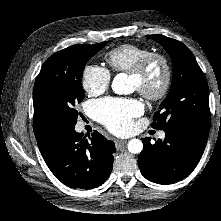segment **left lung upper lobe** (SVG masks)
Returning a JSON list of instances; mask_svg holds the SVG:
<instances>
[{
    "instance_id": "1",
    "label": "left lung upper lobe",
    "mask_w": 221,
    "mask_h": 221,
    "mask_svg": "<svg viewBox=\"0 0 221 221\" xmlns=\"http://www.w3.org/2000/svg\"><path fill=\"white\" fill-rule=\"evenodd\" d=\"M148 38L165 48L173 64L171 88L160 110L154 114L152 127L166 130L187 125L209 131V89L194 55L175 39L158 34L149 35Z\"/></svg>"
}]
</instances>
